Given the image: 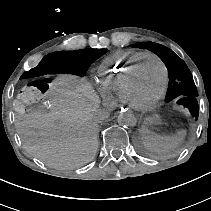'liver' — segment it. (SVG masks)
<instances>
[{
    "mask_svg": "<svg viewBox=\"0 0 211 211\" xmlns=\"http://www.w3.org/2000/svg\"><path fill=\"white\" fill-rule=\"evenodd\" d=\"M49 112L18 117L17 133L26 150L47 165L79 168L96 155L99 100L84 78L64 75L51 83Z\"/></svg>",
    "mask_w": 211,
    "mask_h": 211,
    "instance_id": "obj_1",
    "label": "liver"
}]
</instances>
